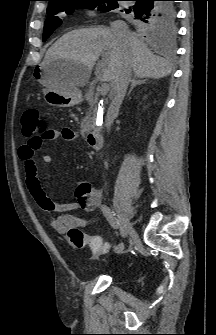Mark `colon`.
Returning <instances> with one entry per match:
<instances>
[{
  "label": "colon",
  "instance_id": "1",
  "mask_svg": "<svg viewBox=\"0 0 216 335\" xmlns=\"http://www.w3.org/2000/svg\"><path fill=\"white\" fill-rule=\"evenodd\" d=\"M22 133L28 138V145L34 151L39 149L48 134L47 121L42 118L36 109H28L22 117ZM68 243L76 249L88 247L92 254L100 253L106 249L102 239L89 236L79 228H72L67 233Z\"/></svg>",
  "mask_w": 216,
  "mask_h": 335
}]
</instances>
